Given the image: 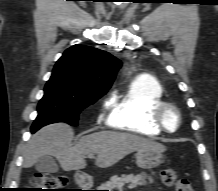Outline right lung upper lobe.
I'll return each mask as SVG.
<instances>
[{
    "instance_id": "cb5924a9",
    "label": "right lung upper lobe",
    "mask_w": 218,
    "mask_h": 191,
    "mask_svg": "<svg viewBox=\"0 0 218 191\" xmlns=\"http://www.w3.org/2000/svg\"><path fill=\"white\" fill-rule=\"evenodd\" d=\"M121 62L106 51L84 45L68 48L56 62L52 75L86 93H106Z\"/></svg>"
}]
</instances>
